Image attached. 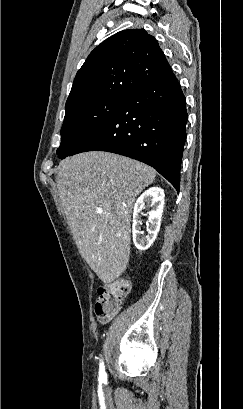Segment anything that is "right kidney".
Returning a JSON list of instances; mask_svg holds the SVG:
<instances>
[{"label":"right kidney","mask_w":243,"mask_h":409,"mask_svg":"<svg viewBox=\"0 0 243 409\" xmlns=\"http://www.w3.org/2000/svg\"><path fill=\"white\" fill-rule=\"evenodd\" d=\"M151 208L148 214V234L143 236L141 231V215L144 208ZM164 208V191L159 187H151L137 199L134 205L132 234L133 242L137 249L147 250L154 240L161 225V217Z\"/></svg>","instance_id":"ca27d5eb"}]
</instances>
